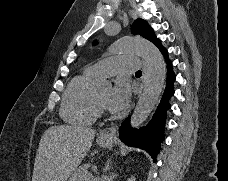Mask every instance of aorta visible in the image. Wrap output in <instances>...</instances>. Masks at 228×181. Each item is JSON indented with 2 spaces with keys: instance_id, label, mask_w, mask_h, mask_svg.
<instances>
[{
  "instance_id": "762f6f07",
  "label": "aorta",
  "mask_w": 228,
  "mask_h": 181,
  "mask_svg": "<svg viewBox=\"0 0 228 181\" xmlns=\"http://www.w3.org/2000/svg\"><path fill=\"white\" fill-rule=\"evenodd\" d=\"M109 52L135 53L147 63L148 76L145 87L131 116V126L139 127L148 118L159 102L166 78V64L158 48L143 38L126 37L113 44ZM110 84L106 81L97 84L99 88H106Z\"/></svg>"
}]
</instances>
